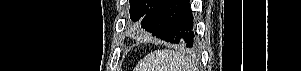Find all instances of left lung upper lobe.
<instances>
[{
  "label": "left lung upper lobe",
  "instance_id": "left-lung-upper-lobe-1",
  "mask_svg": "<svg viewBox=\"0 0 301 71\" xmlns=\"http://www.w3.org/2000/svg\"><path fill=\"white\" fill-rule=\"evenodd\" d=\"M158 0H130V18L132 21L141 20L157 3Z\"/></svg>",
  "mask_w": 301,
  "mask_h": 71
}]
</instances>
